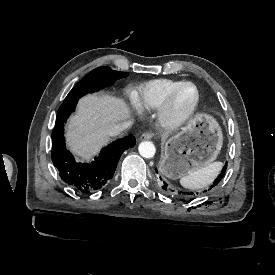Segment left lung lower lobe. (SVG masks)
I'll use <instances>...</instances> for the list:
<instances>
[{
    "label": "left lung lower lobe",
    "instance_id": "1",
    "mask_svg": "<svg viewBox=\"0 0 275 275\" xmlns=\"http://www.w3.org/2000/svg\"><path fill=\"white\" fill-rule=\"evenodd\" d=\"M226 165H227V164H226ZM226 165H225V167L222 169L221 173L217 176V178H216V180L213 182V184L210 185V187H209L207 190H205L204 192H207V191H209V190H212V189L221 181V179L224 177V173H225V170H226ZM155 170L157 171V169H155ZM158 182H159V184L161 185V188H162L164 191H166V192L170 191V189H169V187H168V184H167L165 181H163L161 177H159Z\"/></svg>",
    "mask_w": 275,
    "mask_h": 275
}]
</instances>
